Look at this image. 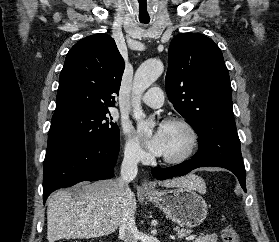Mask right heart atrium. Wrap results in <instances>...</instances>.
<instances>
[{
  "instance_id": "d8ad5b80",
  "label": "right heart atrium",
  "mask_w": 279,
  "mask_h": 242,
  "mask_svg": "<svg viewBox=\"0 0 279 242\" xmlns=\"http://www.w3.org/2000/svg\"><path fill=\"white\" fill-rule=\"evenodd\" d=\"M124 158L130 163H140L147 159V154L143 151L139 143L124 129Z\"/></svg>"
}]
</instances>
